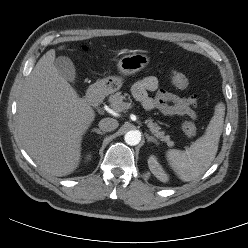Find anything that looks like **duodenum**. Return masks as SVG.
<instances>
[{"instance_id":"410a0bca","label":"duodenum","mask_w":248,"mask_h":248,"mask_svg":"<svg viewBox=\"0 0 248 248\" xmlns=\"http://www.w3.org/2000/svg\"><path fill=\"white\" fill-rule=\"evenodd\" d=\"M88 101L93 105H98L101 103V94L99 91H92L88 95Z\"/></svg>"}]
</instances>
